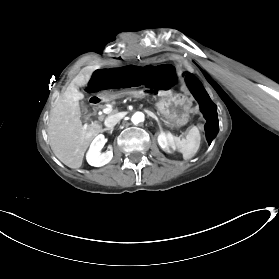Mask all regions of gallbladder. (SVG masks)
<instances>
[{
  "mask_svg": "<svg viewBox=\"0 0 279 279\" xmlns=\"http://www.w3.org/2000/svg\"><path fill=\"white\" fill-rule=\"evenodd\" d=\"M80 108H81V118L84 122H86V118L89 116L88 110H87V105L84 104L83 102H81Z\"/></svg>",
  "mask_w": 279,
  "mask_h": 279,
  "instance_id": "gallbladder-1",
  "label": "gallbladder"
}]
</instances>
